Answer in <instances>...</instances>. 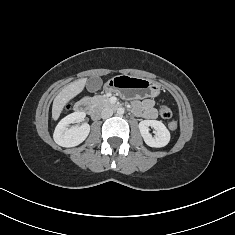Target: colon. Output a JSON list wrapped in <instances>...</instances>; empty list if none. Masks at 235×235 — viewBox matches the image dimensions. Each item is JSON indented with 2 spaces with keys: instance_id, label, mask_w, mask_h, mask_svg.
<instances>
[{
  "instance_id": "colon-1",
  "label": "colon",
  "mask_w": 235,
  "mask_h": 235,
  "mask_svg": "<svg viewBox=\"0 0 235 235\" xmlns=\"http://www.w3.org/2000/svg\"><path fill=\"white\" fill-rule=\"evenodd\" d=\"M159 114L162 118L168 119L172 116L171 109L164 103H162L159 107ZM170 131H175L177 129V123L175 121H171L168 125Z\"/></svg>"
}]
</instances>
